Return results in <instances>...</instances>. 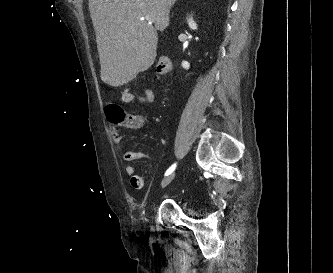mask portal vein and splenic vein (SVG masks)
<instances>
[{
    "instance_id": "1",
    "label": "portal vein and splenic vein",
    "mask_w": 333,
    "mask_h": 273,
    "mask_svg": "<svg viewBox=\"0 0 333 273\" xmlns=\"http://www.w3.org/2000/svg\"><path fill=\"white\" fill-rule=\"evenodd\" d=\"M142 19H146V20H148L150 24L152 23V22H151V18L148 17V16H146L145 18H142Z\"/></svg>"
}]
</instances>
